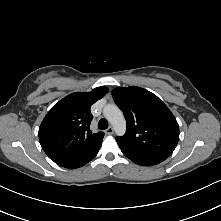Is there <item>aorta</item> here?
<instances>
[{
  "label": "aorta",
  "mask_w": 221,
  "mask_h": 221,
  "mask_svg": "<svg viewBox=\"0 0 221 221\" xmlns=\"http://www.w3.org/2000/svg\"><path fill=\"white\" fill-rule=\"evenodd\" d=\"M103 114L111 123L117 135L122 136L126 131V120L122 111L115 104H108L104 107Z\"/></svg>",
  "instance_id": "aorta-1"
}]
</instances>
